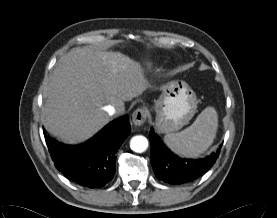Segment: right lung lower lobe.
<instances>
[{"label": "right lung lower lobe", "instance_id": "98d812e1", "mask_svg": "<svg viewBox=\"0 0 277 218\" xmlns=\"http://www.w3.org/2000/svg\"><path fill=\"white\" fill-rule=\"evenodd\" d=\"M130 131L128 116L124 115L81 145H65L47 136L46 132L44 135L59 171L82 186L101 188L114 177L115 154Z\"/></svg>", "mask_w": 277, "mask_h": 218}]
</instances>
